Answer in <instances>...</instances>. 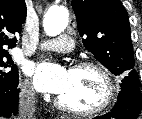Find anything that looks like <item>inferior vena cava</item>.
<instances>
[{"label": "inferior vena cava", "mask_w": 142, "mask_h": 119, "mask_svg": "<svg viewBox=\"0 0 142 119\" xmlns=\"http://www.w3.org/2000/svg\"><path fill=\"white\" fill-rule=\"evenodd\" d=\"M36 110L35 92L30 86L21 88L18 119H34Z\"/></svg>", "instance_id": "1"}]
</instances>
